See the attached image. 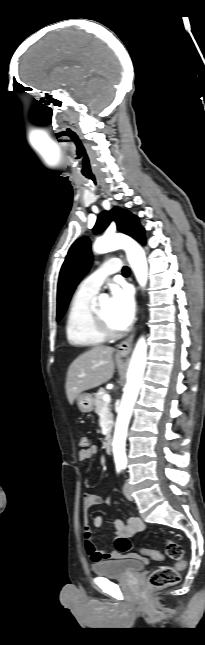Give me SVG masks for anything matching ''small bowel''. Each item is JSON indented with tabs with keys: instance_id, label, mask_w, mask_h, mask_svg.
<instances>
[{
	"instance_id": "obj_1",
	"label": "small bowel",
	"mask_w": 205,
	"mask_h": 645,
	"mask_svg": "<svg viewBox=\"0 0 205 645\" xmlns=\"http://www.w3.org/2000/svg\"><path fill=\"white\" fill-rule=\"evenodd\" d=\"M98 454V448L95 445L90 446L86 450H80L78 452V459L80 462H85L92 457L96 456ZM117 493V490H113L111 494L103 500L101 497L92 494V493H84L82 495V501H83V509L84 513L87 514V512L103 502L106 503L107 505H111L112 502V496ZM103 523V516L102 515H97L93 519V527L98 529L102 526ZM114 529H115V540L119 537H125L130 539L133 537L135 534L143 531L145 529V524L144 522L137 516H130L126 521H123L122 519L116 518L114 520ZM93 530L92 528L85 522L84 528H83V536H84V544H85V549L87 554L89 555L91 561L93 563L100 562V561H106V560H116V559H122V558H133V559H138L143 562H146L147 559L137 553H120L118 552L115 547L114 549L110 551H105V550H100L98 549L94 542H93Z\"/></svg>"
}]
</instances>
